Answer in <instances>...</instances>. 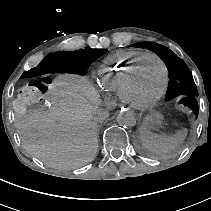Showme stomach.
<instances>
[{
  "mask_svg": "<svg viewBox=\"0 0 211 211\" xmlns=\"http://www.w3.org/2000/svg\"><path fill=\"white\" fill-rule=\"evenodd\" d=\"M161 122H162V116L159 113H152L148 115L144 120V123L147 126L158 125Z\"/></svg>",
  "mask_w": 211,
  "mask_h": 211,
  "instance_id": "obj_1",
  "label": "stomach"
}]
</instances>
